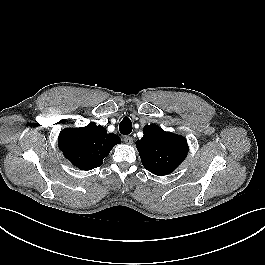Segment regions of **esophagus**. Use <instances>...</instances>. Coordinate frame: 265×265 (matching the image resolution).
<instances>
[{"instance_id":"1","label":"esophagus","mask_w":265,"mask_h":265,"mask_svg":"<svg viewBox=\"0 0 265 265\" xmlns=\"http://www.w3.org/2000/svg\"><path fill=\"white\" fill-rule=\"evenodd\" d=\"M124 142L128 145H131L133 143V138L131 136L124 137Z\"/></svg>"}]
</instances>
